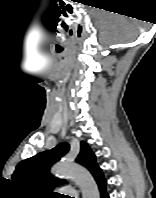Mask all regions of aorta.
Wrapping results in <instances>:
<instances>
[{"mask_svg":"<svg viewBox=\"0 0 156 198\" xmlns=\"http://www.w3.org/2000/svg\"><path fill=\"white\" fill-rule=\"evenodd\" d=\"M51 173L56 176L71 177L80 188L82 198H100L94 178L84 167L70 163H58L52 167Z\"/></svg>","mask_w":156,"mask_h":198,"instance_id":"1","label":"aorta"}]
</instances>
